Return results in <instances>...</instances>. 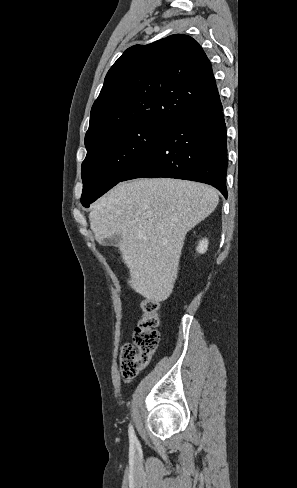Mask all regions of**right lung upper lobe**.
<instances>
[{
	"instance_id": "obj_1",
	"label": "right lung upper lobe",
	"mask_w": 297,
	"mask_h": 488,
	"mask_svg": "<svg viewBox=\"0 0 297 488\" xmlns=\"http://www.w3.org/2000/svg\"><path fill=\"white\" fill-rule=\"evenodd\" d=\"M218 96L211 63L190 36L132 46L105 77L91 109L85 146L133 124H171Z\"/></svg>"
}]
</instances>
